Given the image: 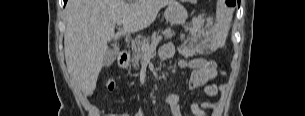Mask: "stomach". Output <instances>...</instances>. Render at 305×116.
I'll list each match as a JSON object with an SVG mask.
<instances>
[{"label":"stomach","instance_id":"stomach-1","mask_svg":"<svg viewBox=\"0 0 305 116\" xmlns=\"http://www.w3.org/2000/svg\"><path fill=\"white\" fill-rule=\"evenodd\" d=\"M164 16L167 21L173 25L185 24L188 18L187 10L177 1L170 3L165 12Z\"/></svg>","mask_w":305,"mask_h":116}]
</instances>
